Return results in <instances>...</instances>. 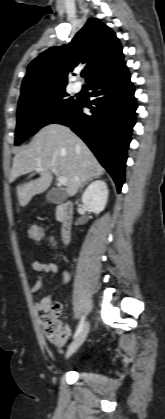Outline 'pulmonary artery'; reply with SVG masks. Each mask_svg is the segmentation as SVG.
Returning a JSON list of instances; mask_svg holds the SVG:
<instances>
[{"label":"pulmonary artery","instance_id":"1","mask_svg":"<svg viewBox=\"0 0 165 419\" xmlns=\"http://www.w3.org/2000/svg\"><path fill=\"white\" fill-rule=\"evenodd\" d=\"M81 90V85L79 84V83H75L74 85H73V91L74 92H79Z\"/></svg>","mask_w":165,"mask_h":419}]
</instances>
